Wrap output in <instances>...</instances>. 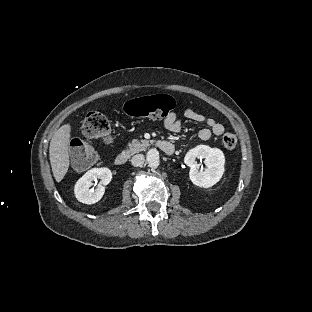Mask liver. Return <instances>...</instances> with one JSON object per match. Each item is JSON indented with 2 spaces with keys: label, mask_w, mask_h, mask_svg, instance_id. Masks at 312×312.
Listing matches in <instances>:
<instances>
[{
  "label": "liver",
  "mask_w": 312,
  "mask_h": 312,
  "mask_svg": "<svg viewBox=\"0 0 312 312\" xmlns=\"http://www.w3.org/2000/svg\"><path fill=\"white\" fill-rule=\"evenodd\" d=\"M72 123L62 125L54 134L49 146V159L53 176L61 182L70 167L69 148Z\"/></svg>",
  "instance_id": "obj_1"
}]
</instances>
